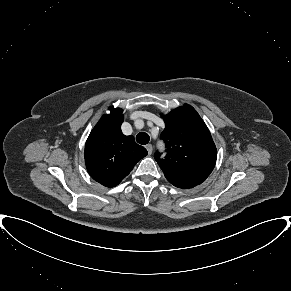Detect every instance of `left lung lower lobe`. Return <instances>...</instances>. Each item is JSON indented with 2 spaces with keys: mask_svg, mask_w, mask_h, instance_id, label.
<instances>
[{
  "mask_svg": "<svg viewBox=\"0 0 291 291\" xmlns=\"http://www.w3.org/2000/svg\"><path fill=\"white\" fill-rule=\"evenodd\" d=\"M171 184H173L174 186L179 187V188H192L193 187V186H189L187 184L177 183V182L176 183H171Z\"/></svg>",
  "mask_w": 291,
  "mask_h": 291,
  "instance_id": "obj_1",
  "label": "left lung lower lobe"
}]
</instances>
